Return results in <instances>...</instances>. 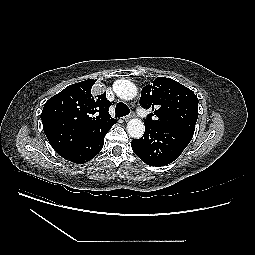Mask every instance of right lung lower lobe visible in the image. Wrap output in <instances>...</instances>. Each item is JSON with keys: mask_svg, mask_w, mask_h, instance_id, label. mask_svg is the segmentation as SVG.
Instances as JSON below:
<instances>
[{"mask_svg": "<svg viewBox=\"0 0 255 255\" xmlns=\"http://www.w3.org/2000/svg\"><path fill=\"white\" fill-rule=\"evenodd\" d=\"M109 130L110 128H105L90 133L62 157L78 164L91 160L101 151L104 145V137Z\"/></svg>", "mask_w": 255, "mask_h": 255, "instance_id": "obj_1", "label": "right lung lower lobe"}]
</instances>
